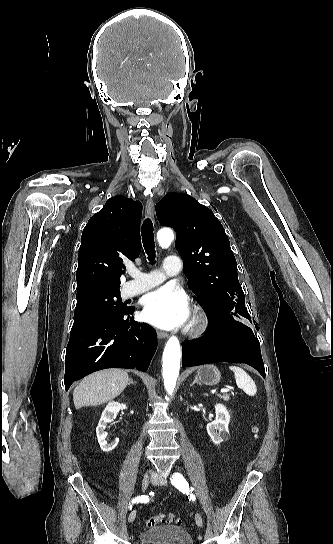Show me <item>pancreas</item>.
Segmentation results:
<instances>
[{"label":"pancreas","mask_w":333,"mask_h":544,"mask_svg":"<svg viewBox=\"0 0 333 544\" xmlns=\"http://www.w3.org/2000/svg\"><path fill=\"white\" fill-rule=\"evenodd\" d=\"M220 398L223 399L224 401H228L230 399V395L229 394H223V395H220Z\"/></svg>","instance_id":"1"}]
</instances>
